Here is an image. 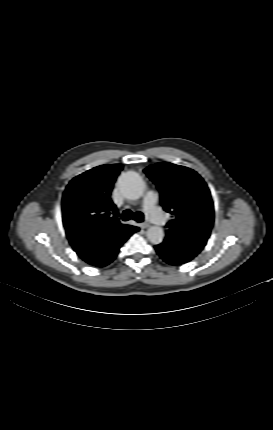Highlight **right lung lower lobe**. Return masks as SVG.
I'll return each mask as SVG.
<instances>
[{"instance_id": "98d812e1", "label": "right lung lower lobe", "mask_w": 273, "mask_h": 430, "mask_svg": "<svg viewBox=\"0 0 273 430\" xmlns=\"http://www.w3.org/2000/svg\"><path fill=\"white\" fill-rule=\"evenodd\" d=\"M136 231H138V228L134 232ZM129 237L121 239H107L102 244L101 249L86 262L97 267L108 265L117 256L119 248Z\"/></svg>"}]
</instances>
